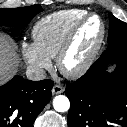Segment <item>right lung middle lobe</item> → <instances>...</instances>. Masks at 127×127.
<instances>
[{
    "instance_id": "dd1d6c3e",
    "label": "right lung middle lobe",
    "mask_w": 127,
    "mask_h": 127,
    "mask_svg": "<svg viewBox=\"0 0 127 127\" xmlns=\"http://www.w3.org/2000/svg\"><path fill=\"white\" fill-rule=\"evenodd\" d=\"M41 11L43 9L38 4L28 7L0 9V26L24 28Z\"/></svg>"
}]
</instances>
